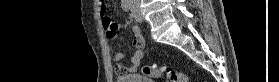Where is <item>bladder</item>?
<instances>
[{
  "instance_id": "31cf9c89",
  "label": "bladder",
  "mask_w": 279,
  "mask_h": 82,
  "mask_svg": "<svg viewBox=\"0 0 279 82\" xmlns=\"http://www.w3.org/2000/svg\"><path fill=\"white\" fill-rule=\"evenodd\" d=\"M117 82H154V81L149 80L144 74L130 73V74H124L118 76Z\"/></svg>"
}]
</instances>
